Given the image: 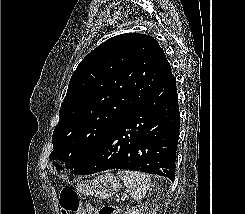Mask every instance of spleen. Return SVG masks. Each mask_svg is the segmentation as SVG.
<instances>
[{
    "mask_svg": "<svg viewBox=\"0 0 245 214\" xmlns=\"http://www.w3.org/2000/svg\"><path fill=\"white\" fill-rule=\"evenodd\" d=\"M117 175L122 179L124 185L128 187L132 199L139 201L143 199L151 186L149 175L131 170L118 171Z\"/></svg>",
    "mask_w": 245,
    "mask_h": 214,
    "instance_id": "spleen-1",
    "label": "spleen"
}]
</instances>
